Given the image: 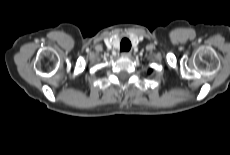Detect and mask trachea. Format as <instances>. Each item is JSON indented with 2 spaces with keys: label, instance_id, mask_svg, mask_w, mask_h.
Wrapping results in <instances>:
<instances>
[{
  "label": "trachea",
  "instance_id": "obj_1",
  "mask_svg": "<svg viewBox=\"0 0 230 155\" xmlns=\"http://www.w3.org/2000/svg\"><path fill=\"white\" fill-rule=\"evenodd\" d=\"M131 49V42L128 38L124 37L120 43V50L122 52H128Z\"/></svg>",
  "mask_w": 230,
  "mask_h": 155
}]
</instances>
